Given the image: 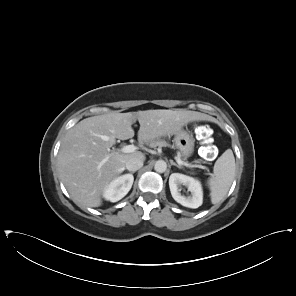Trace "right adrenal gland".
I'll use <instances>...</instances> for the list:
<instances>
[{"label": "right adrenal gland", "mask_w": 296, "mask_h": 296, "mask_svg": "<svg viewBox=\"0 0 296 296\" xmlns=\"http://www.w3.org/2000/svg\"><path fill=\"white\" fill-rule=\"evenodd\" d=\"M135 173V171H131V174Z\"/></svg>", "instance_id": "obj_1"}]
</instances>
